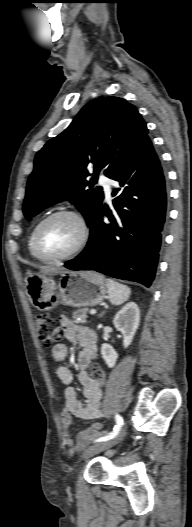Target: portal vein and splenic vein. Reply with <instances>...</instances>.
<instances>
[{
  "mask_svg": "<svg viewBox=\"0 0 192 527\" xmlns=\"http://www.w3.org/2000/svg\"><path fill=\"white\" fill-rule=\"evenodd\" d=\"M95 313H96V310H95V309L90 310V314H91V315H94Z\"/></svg>",
  "mask_w": 192,
  "mask_h": 527,
  "instance_id": "1",
  "label": "portal vein and splenic vein"
}]
</instances>
